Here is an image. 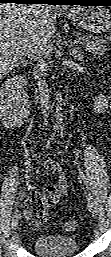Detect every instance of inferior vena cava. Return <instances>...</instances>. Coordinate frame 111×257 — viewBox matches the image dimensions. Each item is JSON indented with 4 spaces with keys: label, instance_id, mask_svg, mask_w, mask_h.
<instances>
[{
    "label": "inferior vena cava",
    "instance_id": "1",
    "mask_svg": "<svg viewBox=\"0 0 111 257\" xmlns=\"http://www.w3.org/2000/svg\"><path fill=\"white\" fill-rule=\"evenodd\" d=\"M47 47L42 38L36 39L31 49L30 58L33 61V75L37 80L39 92H40V104L42 112L44 114L43 124H48V110L50 109L49 102V89L46 81L48 67L46 64Z\"/></svg>",
    "mask_w": 111,
    "mask_h": 257
}]
</instances>
